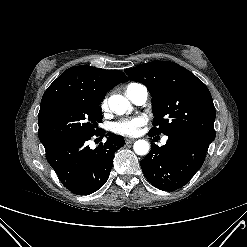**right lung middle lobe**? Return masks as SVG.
<instances>
[{
  "label": "right lung middle lobe",
  "mask_w": 247,
  "mask_h": 247,
  "mask_svg": "<svg viewBox=\"0 0 247 247\" xmlns=\"http://www.w3.org/2000/svg\"><path fill=\"white\" fill-rule=\"evenodd\" d=\"M101 101L94 97H80L40 111V142L47 146L68 137L96 133L97 124L102 121Z\"/></svg>",
  "instance_id": "obj_1"
}]
</instances>
